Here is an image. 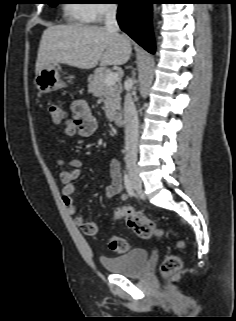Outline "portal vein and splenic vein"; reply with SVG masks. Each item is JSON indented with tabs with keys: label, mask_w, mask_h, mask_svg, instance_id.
I'll return each instance as SVG.
<instances>
[{
	"label": "portal vein and splenic vein",
	"mask_w": 236,
	"mask_h": 321,
	"mask_svg": "<svg viewBox=\"0 0 236 321\" xmlns=\"http://www.w3.org/2000/svg\"><path fill=\"white\" fill-rule=\"evenodd\" d=\"M118 81V74L116 72H109L105 77V83L107 85H113Z\"/></svg>",
	"instance_id": "18ae733b"
}]
</instances>
